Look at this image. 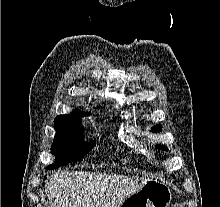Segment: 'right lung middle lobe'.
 Masks as SVG:
<instances>
[{
	"mask_svg": "<svg viewBox=\"0 0 220 207\" xmlns=\"http://www.w3.org/2000/svg\"><path fill=\"white\" fill-rule=\"evenodd\" d=\"M84 114L73 111L70 114L59 115L54 120L56 135L51 146V152L56 157L48 169L58 168L69 162H75L94 147L95 142H84V128L80 117Z\"/></svg>",
	"mask_w": 220,
	"mask_h": 207,
	"instance_id": "right-lung-middle-lobe-1",
	"label": "right lung middle lobe"
}]
</instances>
